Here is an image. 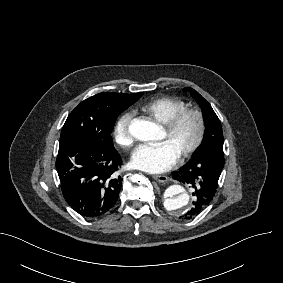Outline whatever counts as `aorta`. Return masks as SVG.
<instances>
[{"instance_id": "aorta-1", "label": "aorta", "mask_w": 283, "mask_h": 283, "mask_svg": "<svg viewBox=\"0 0 283 283\" xmlns=\"http://www.w3.org/2000/svg\"><path fill=\"white\" fill-rule=\"evenodd\" d=\"M130 134L140 141L157 140L161 128L147 120L136 119L129 126ZM164 208L175 215H182L191 208V196L187 188L180 184L169 186L163 193Z\"/></svg>"}]
</instances>
